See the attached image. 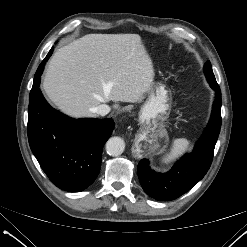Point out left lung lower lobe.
<instances>
[{"mask_svg": "<svg viewBox=\"0 0 247 247\" xmlns=\"http://www.w3.org/2000/svg\"><path fill=\"white\" fill-rule=\"evenodd\" d=\"M210 86L216 92L211 118L194 150L183 156L167 173H156L149 167L147 159L139 162L140 183L152 198L161 201L178 198L199 182L210 168L222 121L221 90L219 86Z\"/></svg>", "mask_w": 247, "mask_h": 247, "instance_id": "obj_1", "label": "left lung lower lobe"}]
</instances>
